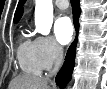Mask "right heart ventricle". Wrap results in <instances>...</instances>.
Returning a JSON list of instances; mask_svg holds the SVG:
<instances>
[{
	"label": "right heart ventricle",
	"instance_id": "obj_1",
	"mask_svg": "<svg viewBox=\"0 0 107 89\" xmlns=\"http://www.w3.org/2000/svg\"><path fill=\"white\" fill-rule=\"evenodd\" d=\"M17 58L21 70L29 75H40L43 68L40 64L36 39L22 35L17 49Z\"/></svg>",
	"mask_w": 107,
	"mask_h": 89
}]
</instances>
